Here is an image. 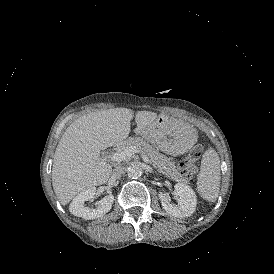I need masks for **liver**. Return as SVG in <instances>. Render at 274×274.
<instances>
[{"label": "liver", "mask_w": 274, "mask_h": 274, "mask_svg": "<svg viewBox=\"0 0 274 274\" xmlns=\"http://www.w3.org/2000/svg\"><path fill=\"white\" fill-rule=\"evenodd\" d=\"M133 116L134 112L127 108L95 110L67 127L57 145L52 167L54 192L62 205L78 192L108 181L112 166L101 160L100 151L128 137ZM156 118L155 112L138 111L135 134L144 133Z\"/></svg>", "instance_id": "obj_1"}]
</instances>
